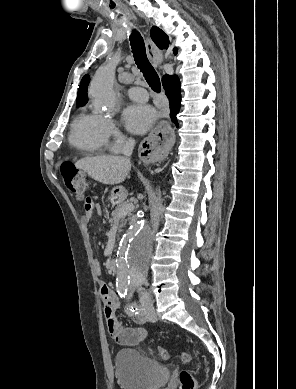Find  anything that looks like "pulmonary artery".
Returning <instances> with one entry per match:
<instances>
[{"mask_svg":"<svg viewBox=\"0 0 296 389\" xmlns=\"http://www.w3.org/2000/svg\"><path fill=\"white\" fill-rule=\"evenodd\" d=\"M128 96L137 102H145L148 100L147 91L142 87H131L127 90Z\"/></svg>","mask_w":296,"mask_h":389,"instance_id":"1","label":"pulmonary artery"}]
</instances>
